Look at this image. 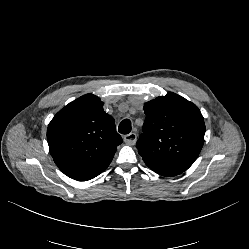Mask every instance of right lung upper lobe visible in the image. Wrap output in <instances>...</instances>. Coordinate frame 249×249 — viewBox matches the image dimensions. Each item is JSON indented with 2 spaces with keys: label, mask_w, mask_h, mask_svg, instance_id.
<instances>
[{
  "label": "right lung upper lobe",
  "mask_w": 249,
  "mask_h": 249,
  "mask_svg": "<svg viewBox=\"0 0 249 249\" xmlns=\"http://www.w3.org/2000/svg\"><path fill=\"white\" fill-rule=\"evenodd\" d=\"M103 102L86 94L60 110L48 125L49 151L59 169L86 181L103 172L122 143L115 120L103 111Z\"/></svg>",
  "instance_id": "1"
}]
</instances>
